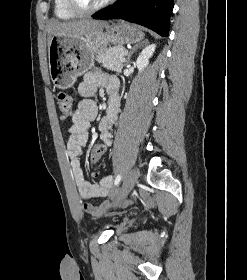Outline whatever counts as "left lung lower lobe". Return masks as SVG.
<instances>
[{
  "label": "left lung lower lobe",
  "instance_id": "left-lung-lower-lobe-1",
  "mask_svg": "<svg viewBox=\"0 0 247 280\" xmlns=\"http://www.w3.org/2000/svg\"><path fill=\"white\" fill-rule=\"evenodd\" d=\"M174 0H118L94 19H124L168 36Z\"/></svg>",
  "mask_w": 247,
  "mask_h": 280
}]
</instances>
